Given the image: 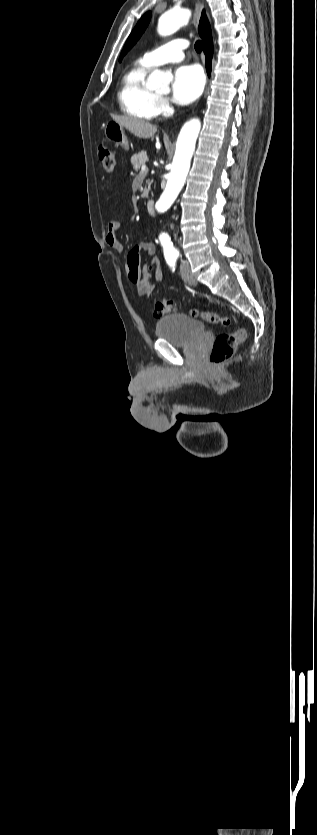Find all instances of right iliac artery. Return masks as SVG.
Masks as SVG:
<instances>
[{"label":"right iliac artery","instance_id":"1","mask_svg":"<svg viewBox=\"0 0 317 835\" xmlns=\"http://www.w3.org/2000/svg\"><path fill=\"white\" fill-rule=\"evenodd\" d=\"M166 261H167L168 265H169V266H170L173 270H175V262H176V258H166Z\"/></svg>","mask_w":317,"mask_h":835}]
</instances>
